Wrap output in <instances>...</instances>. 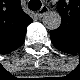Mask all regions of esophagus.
Here are the masks:
<instances>
[{
  "mask_svg": "<svg viewBox=\"0 0 80 80\" xmlns=\"http://www.w3.org/2000/svg\"><path fill=\"white\" fill-rule=\"evenodd\" d=\"M42 9H43V7H42L41 10L38 12V16H40V17H43V16L47 13V11L42 12Z\"/></svg>",
  "mask_w": 80,
  "mask_h": 80,
  "instance_id": "34e87169",
  "label": "esophagus"
}]
</instances>
